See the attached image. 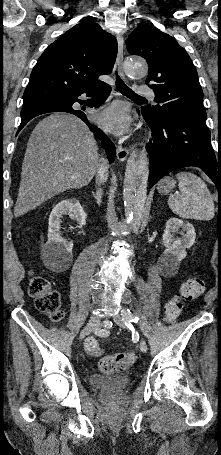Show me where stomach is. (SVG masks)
<instances>
[{
    "mask_svg": "<svg viewBox=\"0 0 221 455\" xmlns=\"http://www.w3.org/2000/svg\"><path fill=\"white\" fill-rule=\"evenodd\" d=\"M176 186V181L171 177L163 178L157 185V190L159 193L167 195L169 194Z\"/></svg>",
    "mask_w": 221,
    "mask_h": 455,
    "instance_id": "stomach-1",
    "label": "stomach"
}]
</instances>
